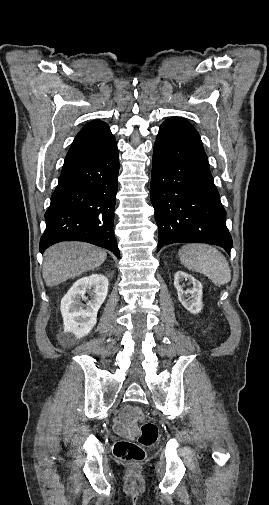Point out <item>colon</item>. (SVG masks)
I'll return each mask as SVG.
<instances>
[{"instance_id":"1","label":"colon","mask_w":269,"mask_h":505,"mask_svg":"<svg viewBox=\"0 0 269 505\" xmlns=\"http://www.w3.org/2000/svg\"><path fill=\"white\" fill-rule=\"evenodd\" d=\"M133 419L143 421V413L139 408L133 409ZM158 437V427L153 422H144L136 441L119 440L114 445V456L126 463H138L145 458V448L152 446Z\"/></svg>"}]
</instances>
